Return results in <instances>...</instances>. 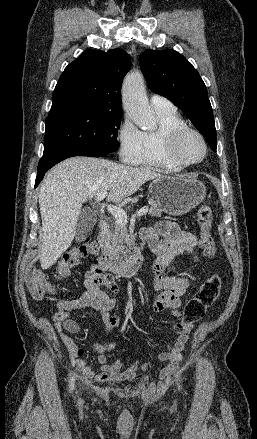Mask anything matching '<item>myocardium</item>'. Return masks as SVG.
<instances>
[{"label":"myocardium","mask_w":257,"mask_h":439,"mask_svg":"<svg viewBox=\"0 0 257 439\" xmlns=\"http://www.w3.org/2000/svg\"><path fill=\"white\" fill-rule=\"evenodd\" d=\"M189 134L196 136L202 146H203V155L199 160L196 161H188L184 159L179 153V145L181 141ZM166 152L168 154L169 159L176 165L180 167H191L202 163L208 153V146L206 139L204 136L196 129L191 128L189 126H181L170 131L164 140Z\"/></svg>","instance_id":"1"}]
</instances>
